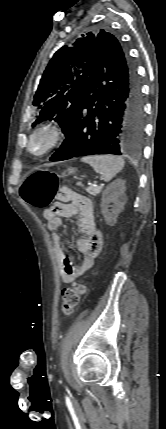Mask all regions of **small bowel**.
<instances>
[{
	"label": "small bowel",
	"mask_w": 166,
	"mask_h": 429,
	"mask_svg": "<svg viewBox=\"0 0 166 429\" xmlns=\"http://www.w3.org/2000/svg\"><path fill=\"white\" fill-rule=\"evenodd\" d=\"M58 202L44 210L47 228L52 232L53 252L58 263L59 274L63 282L71 283L90 269L103 248L104 236L96 226L94 208L90 201L86 205H78L68 199L58 198ZM78 215V227L86 237L76 241V248L82 255V263L75 265L65 254L61 246V235L58 230L62 225V217Z\"/></svg>",
	"instance_id": "c3829d8e"
}]
</instances>
